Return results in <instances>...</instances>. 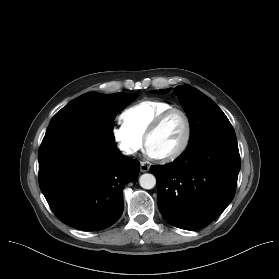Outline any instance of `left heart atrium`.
<instances>
[{"label":"left heart atrium","mask_w":279,"mask_h":279,"mask_svg":"<svg viewBox=\"0 0 279 279\" xmlns=\"http://www.w3.org/2000/svg\"><path fill=\"white\" fill-rule=\"evenodd\" d=\"M147 152H148V154H149L151 157H155V158L158 157V156H157L151 149H149V148H147Z\"/></svg>","instance_id":"39dd6f15"}]
</instances>
